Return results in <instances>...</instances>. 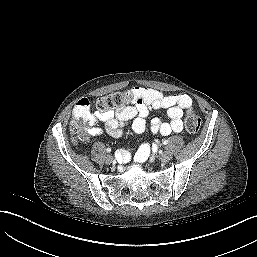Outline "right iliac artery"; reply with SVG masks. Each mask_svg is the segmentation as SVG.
Segmentation results:
<instances>
[{
    "mask_svg": "<svg viewBox=\"0 0 257 257\" xmlns=\"http://www.w3.org/2000/svg\"><path fill=\"white\" fill-rule=\"evenodd\" d=\"M106 151L110 153L111 152V148H107ZM116 156L118 158V154Z\"/></svg>",
    "mask_w": 257,
    "mask_h": 257,
    "instance_id": "82829eb1",
    "label": "right iliac artery"
}]
</instances>
